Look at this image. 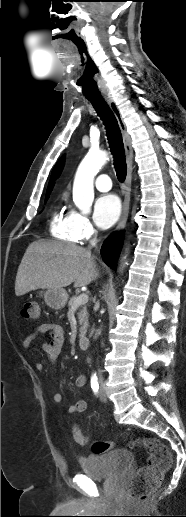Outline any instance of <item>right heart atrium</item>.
<instances>
[{
  "instance_id": "obj_1",
  "label": "right heart atrium",
  "mask_w": 186,
  "mask_h": 517,
  "mask_svg": "<svg viewBox=\"0 0 186 517\" xmlns=\"http://www.w3.org/2000/svg\"><path fill=\"white\" fill-rule=\"evenodd\" d=\"M69 215L78 240L87 241L97 234L96 228L85 214L71 209Z\"/></svg>"
}]
</instances>
